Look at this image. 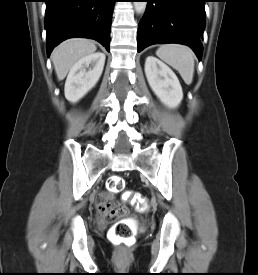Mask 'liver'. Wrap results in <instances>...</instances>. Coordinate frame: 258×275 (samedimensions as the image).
<instances>
[{
	"label": "liver",
	"instance_id": "1",
	"mask_svg": "<svg viewBox=\"0 0 258 275\" xmlns=\"http://www.w3.org/2000/svg\"><path fill=\"white\" fill-rule=\"evenodd\" d=\"M96 45L89 39H68L58 45L51 54L58 80H63L73 65L83 57L93 54Z\"/></svg>",
	"mask_w": 258,
	"mask_h": 275
}]
</instances>
